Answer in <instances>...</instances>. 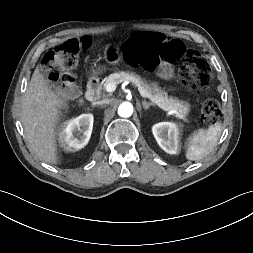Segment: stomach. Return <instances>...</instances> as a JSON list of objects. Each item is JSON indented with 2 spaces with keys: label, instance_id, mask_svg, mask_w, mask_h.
Here are the masks:
<instances>
[{
  "label": "stomach",
  "instance_id": "obj_1",
  "mask_svg": "<svg viewBox=\"0 0 253 253\" xmlns=\"http://www.w3.org/2000/svg\"><path fill=\"white\" fill-rule=\"evenodd\" d=\"M104 59L112 65H118L119 62L121 61V56L119 54V49L115 45H106L104 49ZM96 72H101L100 69H98ZM158 75L162 79H171L174 76V69L171 65L169 64H162L160 66ZM178 103H182L178 99H174Z\"/></svg>",
  "mask_w": 253,
  "mask_h": 253
}]
</instances>
